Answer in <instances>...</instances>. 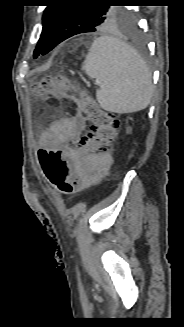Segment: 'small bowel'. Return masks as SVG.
<instances>
[{
  "label": "small bowel",
  "instance_id": "small-bowel-1",
  "mask_svg": "<svg viewBox=\"0 0 184 327\" xmlns=\"http://www.w3.org/2000/svg\"><path fill=\"white\" fill-rule=\"evenodd\" d=\"M86 128V118L78 113L71 117L61 118L53 122L42 135V149L55 148L57 153L63 157L65 149L69 143L79 142ZM42 151V150H41ZM68 160H77V153H68ZM113 163V158L110 154H101L88 157L78 169L84 170L85 184L76 185L73 191L84 188L85 186L99 180L110 169ZM50 165V164H41ZM73 182V180H71ZM29 194L39 195L40 189L33 188L27 191ZM43 203L41 200L38 202Z\"/></svg>",
  "mask_w": 184,
  "mask_h": 327
}]
</instances>
